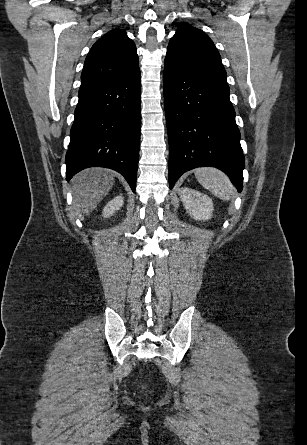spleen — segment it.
<instances>
[{"label": "spleen", "mask_w": 307, "mask_h": 445, "mask_svg": "<svg viewBox=\"0 0 307 445\" xmlns=\"http://www.w3.org/2000/svg\"><path fill=\"white\" fill-rule=\"evenodd\" d=\"M194 174L207 190H210L212 194L222 198V200H230L234 186L229 180V176L218 170V168H210V166H205V168H195Z\"/></svg>", "instance_id": "1"}]
</instances>
